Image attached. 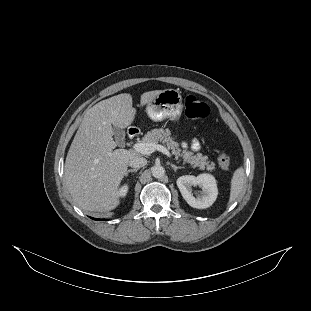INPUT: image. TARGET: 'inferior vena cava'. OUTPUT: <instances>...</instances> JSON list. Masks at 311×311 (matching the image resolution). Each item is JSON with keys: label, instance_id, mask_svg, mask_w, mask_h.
Instances as JSON below:
<instances>
[{"label": "inferior vena cava", "instance_id": "1", "mask_svg": "<svg viewBox=\"0 0 311 311\" xmlns=\"http://www.w3.org/2000/svg\"><path fill=\"white\" fill-rule=\"evenodd\" d=\"M147 164V159L140 156H134L129 160L128 165L132 168L139 169Z\"/></svg>", "mask_w": 311, "mask_h": 311}]
</instances>
